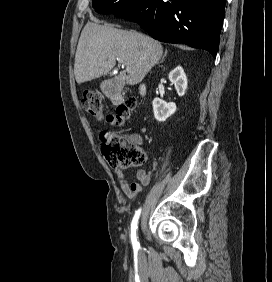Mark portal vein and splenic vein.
I'll return each mask as SVG.
<instances>
[{
    "instance_id": "1",
    "label": "portal vein and splenic vein",
    "mask_w": 272,
    "mask_h": 282,
    "mask_svg": "<svg viewBox=\"0 0 272 282\" xmlns=\"http://www.w3.org/2000/svg\"><path fill=\"white\" fill-rule=\"evenodd\" d=\"M119 62H120V63H122L121 61H119ZM126 69H127V70H129L130 68H129V67H127Z\"/></svg>"
}]
</instances>
